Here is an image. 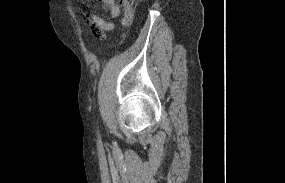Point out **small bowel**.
<instances>
[{
  "label": "small bowel",
  "instance_id": "1",
  "mask_svg": "<svg viewBox=\"0 0 285 183\" xmlns=\"http://www.w3.org/2000/svg\"><path fill=\"white\" fill-rule=\"evenodd\" d=\"M92 1L93 0H87L86 4L89 5ZM101 2L103 6L109 10L110 20H106L97 13L88 14L87 18L91 27L92 35L96 38L104 39L105 33L114 28L113 21L120 16L121 10L115 0H101Z\"/></svg>",
  "mask_w": 285,
  "mask_h": 183
}]
</instances>
